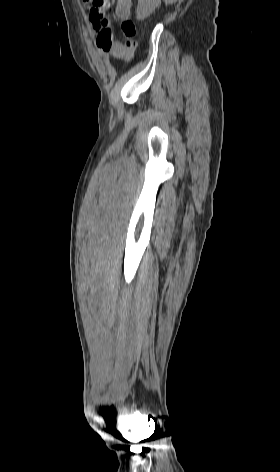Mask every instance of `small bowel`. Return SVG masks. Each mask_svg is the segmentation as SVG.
<instances>
[{"label":"small bowel","instance_id":"c3829d8e","mask_svg":"<svg viewBox=\"0 0 280 472\" xmlns=\"http://www.w3.org/2000/svg\"><path fill=\"white\" fill-rule=\"evenodd\" d=\"M131 8L132 0H117L116 18L119 20L128 19L131 15ZM92 25L96 35V44L102 52L111 54L117 59L128 60L130 58L133 48H130L126 42L115 40L108 24L101 26L92 22Z\"/></svg>","mask_w":280,"mask_h":472}]
</instances>
